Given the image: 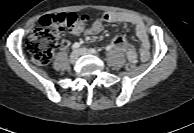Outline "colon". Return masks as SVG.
<instances>
[{"mask_svg":"<svg viewBox=\"0 0 194 133\" xmlns=\"http://www.w3.org/2000/svg\"><path fill=\"white\" fill-rule=\"evenodd\" d=\"M87 20V15L76 13H58L41 18V27L32 32L25 40V47L32 62L37 66L48 64L58 45L61 32L68 30L77 34L83 29ZM135 65L134 62H128L127 67L131 69Z\"/></svg>","mask_w":194,"mask_h":133,"instance_id":"obj_1","label":"colon"}]
</instances>
